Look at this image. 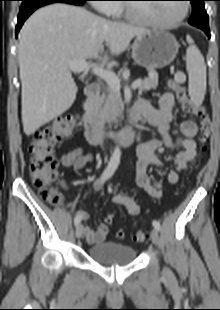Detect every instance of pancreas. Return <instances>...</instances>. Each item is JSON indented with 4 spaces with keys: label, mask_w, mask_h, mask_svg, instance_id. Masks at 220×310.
<instances>
[{
    "label": "pancreas",
    "mask_w": 220,
    "mask_h": 310,
    "mask_svg": "<svg viewBox=\"0 0 220 310\" xmlns=\"http://www.w3.org/2000/svg\"><path fill=\"white\" fill-rule=\"evenodd\" d=\"M158 85V74L155 70H149V77L141 82L140 91L156 89ZM123 103L120 93L113 91L110 87L93 104L92 113L101 122L115 121L122 111Z\"/></svg>",
    "instance_id": "pancreas-1"
}]
</instances>
